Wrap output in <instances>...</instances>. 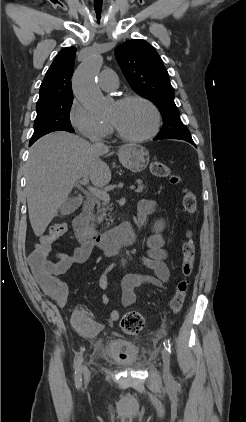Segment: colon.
Instances as JSON below:
<instances>
[{
    "label": "colon",
    "instance_id": "5ec220e1",
    "mask_svg": "<svg viewBox=\"0 0 246 422\" xmlns=\"http://www.w3.org/2000/svg\"><path fill=\"white\" fill-rule=\"evenodd\" d=\"M151 173L156 177H167L170 175L167 165L160 161H154L150 165ZM173 184H178L180 178L176 175L170 176ZM182 205L184 211L192 215L197 211L198 202L196 195L190 190H184L182 194ZM67 225L64 223H55L51 225L47 234L40 238L39 243L29 256L28 263L36 278L43 279L48 275L50 260L48 254L51 245L67 232ZM196 255V245L192 234L189 232L187 238L182 245V259L180 264V278L178 279L174 294L170 300V310L173 314H178L185 302L186 293L189 285L188 277L192 273ZM122 331L128 335H140L145 327L143 316L136 312L130 311L124 314L120 320Z\"/></svg>",
    "mask_w": 246,
    "mask_h": 422
}]
</instances>
